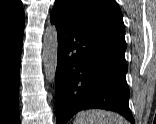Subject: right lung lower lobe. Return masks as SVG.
Listing matches in <instances>:
<instances>
[{
  "instance_id": "98d812e1",
  "label": "right lung lower lobe",
  "mask_w": 156,
  "mask_h": 124,
  "mask_svg": "<svg viewBox=\"0 0 156 124\" xmlns=\"http://www.w3.org/2000/svg\"><path fill=\"white\" fill-rule=\"evenodd\" d=\"M24 27L0 30V124H20L19 68Z\"/></svg>"
}]
</instances>
